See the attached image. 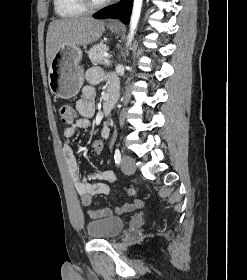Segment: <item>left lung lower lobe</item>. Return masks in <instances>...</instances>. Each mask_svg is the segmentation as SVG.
<instances>
[{"instance_id":"obj_1","label":"left lung lower lobe","mask_w":247,"mask_h":280,"mask_svg":"<svg viewBox=\"0 0 247 280\" xmlns=\"http://www.w3.org/2000/svg\"><path fill=\"white\" fill-rule=\"evenodd\" d=\"M133 0H121L116 5L109 7L100 13L94 15L95 18H118L125 24L129 23Z\"/></svg>"}]
</instances>
